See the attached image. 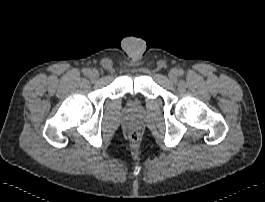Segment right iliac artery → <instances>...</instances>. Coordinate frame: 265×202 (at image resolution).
<instances>
[{
    "label": "right iliac artery",
    "mask_w": 265,
    "mask_h": 202,
    "mask_svg": "<svg viewBox=\"0 0 265 202\" xmlns=\"http://www.w3.org/2000/svg\"><path fill=\"white\" fill-rule=\"evenodd\" d=\"M82 72H83V74H84L85 76H88L89 73H90V69H88V68H84V69L82 70Z\"/></svg>",
    "instance_id": "82829eb1"
}]
</instances>
